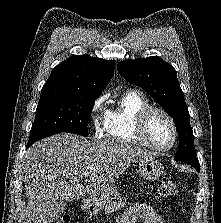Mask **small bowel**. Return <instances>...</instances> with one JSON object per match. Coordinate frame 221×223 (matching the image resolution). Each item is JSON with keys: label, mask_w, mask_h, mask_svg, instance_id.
<instances>
[{"label": "small bowel", "mask_w": 221, "mask_h": 223, "mask_svg": "<svg viewBox=\"0 0 221 223\" xmlns=\"http://www.w3.org/2000/svg\"><path fill=\"white\" fill-rule=\"evenodd\" d=\"M118 223H166L154 208L145 203H136L124 210Z\"/></svg>", "instance_id": "c3829d8e"}]
</instances>
